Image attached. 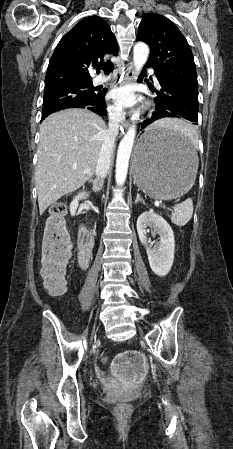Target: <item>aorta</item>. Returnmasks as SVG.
Masks as SVG:
<instances>
[{
  "mask_svg": "<svg viewBox=\"0 0 233 449\" xmlns=\"http://www.w3.org/2000/svg\"><path fill=\"white\" fill-rule=\"evenodd\" d=\"M149 56V48L143 42H138L133 48V60L135 74L141 72L143 65L146 63ZM136 136V125L132 124L122 140L120 141L116 159V173L115 180L117 185H123L126 181L129 159Z\"/></svg>",
  "mask_w": 233,
  "mask_h": 449,
  "instance_id": "obj_1",
  "label": "aorta"
}]
</instances>
